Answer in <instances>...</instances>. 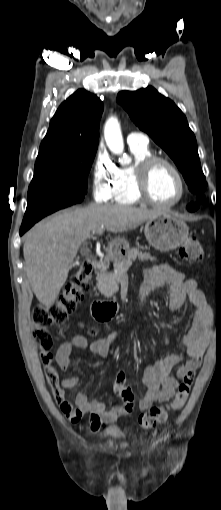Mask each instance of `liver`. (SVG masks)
<instances>
[{
  "instance_id": "liver-1",
  "label": "liver",
  "mask_w": 221,
  "mask_h": 510,
  "mask_svg": "<svg viewBox=\"0 0 221 510\" xmlns=\"http://www.w3.org/2000/svg\"><path fill=\"white\" fill-rule=\"evenodd\" d=\"M161 213L128 205L91 204L37 223L25 235L23 246L25 271L36 298L46 307L54 304L78 250L102 226L109 232L120 233Z\"/></svg>"
}]
</instances>
